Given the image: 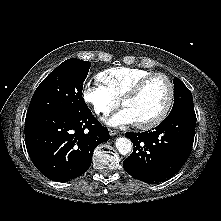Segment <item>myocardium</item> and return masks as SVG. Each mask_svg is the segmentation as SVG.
Returning a JSON list of instances; mask_svg holds the SVG:
<instances>
[{
    "mask_svg": "<svg viewBox=\"0 0 221 221\" xmlns=\"http://www.w3.org/2000/svg\"><path fill=\"white\" fill-rule=\"evenodd\" d=\"M153 78H162L168 85L169 94H168V98L163 109L156 117H154L153 119L147 122L135 123L136 127H138L139 129H143V130L152 129L158 126L168 116L171 110V107L173 105V102H174V97H175V87H174L172 80L164 73H160V72L150 73L142 77L141 79H139L132 86V88L125 94V96L121 99V105L124 107L128 101L136 98L142 91L143 87Z\"/></svg>",
    "mask_w": 221,
    "mask_h": 221,
    "instance_id": "myocardium-1",
    "label": "myocardium"
}]
</instances>
